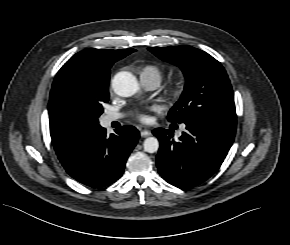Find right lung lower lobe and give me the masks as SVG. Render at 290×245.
<instances>
[{
	"label": "right lung lower lobe",
	"instance_id": "98d812e1",
	"mask_svg": "<svg viewBox=\"0 0 290 245\" xmlns=\"http://www.w3.org/2000/svg\"><path fill=\"white\" fill-rule=\"evenodd\" d=\"M138 139L139 131L131 125L116 129L110 136L99 125L57 152V156L77 181L93 188L104 187L121 177Z\"/></svg>",
	"mask_w": 290,
	"mask_h": 245
}]
</instances>
